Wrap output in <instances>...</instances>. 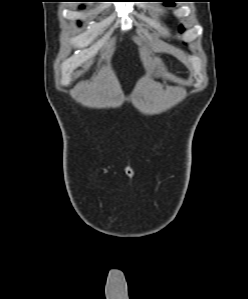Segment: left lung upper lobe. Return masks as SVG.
Segmentation results:
<instances>
[{"label": "left lung upper lobe", "instance_id": "1", "mask_svg": "<svg viewBox=\"0 0 248 299\" xmlns=\"http://www.w3.org/2000/svg\"><path fill=\"white\" fill-rule=\"evenodd\" d=\"M177 0H166L165 1V3H166V5H168V6H174V2H176ZM183 31V27L181 26L180 27V32H182Z\"/></svg>", "mask_w": 248, "mask_h": 299}]
</instances>
